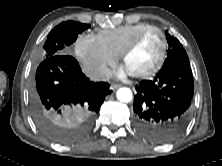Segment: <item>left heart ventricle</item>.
<instances>
[{
  "mask_svg": "<svg viewBox=\"0 0 222 166\" xmlns=\"http://www.w3.org/2000/svg\"><path fill=\"white\" fill-rule=\"evenodd\" d=\"M161 52V38L157 32H149L137 47L125 58L123 67L129 73H138L153 66Z\"/></svg>",
  "mask_w": 222,
  "mask_h": 166,
  "instance_id": "b2bd125f",
  "label": "left heart ventricle"
}]
</instances>
